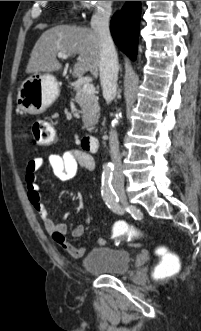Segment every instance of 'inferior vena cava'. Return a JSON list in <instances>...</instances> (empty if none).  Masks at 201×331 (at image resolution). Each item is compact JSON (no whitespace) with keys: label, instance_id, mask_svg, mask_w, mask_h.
Wrapping results in <instances>:
<instances>
[{"label":"inferior vena cava","instance_id":"obj_1","mask_svg":"<svg viewBox=\"0 0 201 331\" xmlns=\"http://www.w3.org/2000/svg\"><path fill=\"white\" fill-rule=\"evenodd\" d=\"M111 10L98 8L91 19V28L98 35L100 44V80L103 96L110 103L116 96L119 63L117 52L109 31ZM109 146L113 175L123 180L122 163L119 151V141L115 130L109 132Z\"/></svg>","mask_w":201,"mask_h":331}]
</instances>
